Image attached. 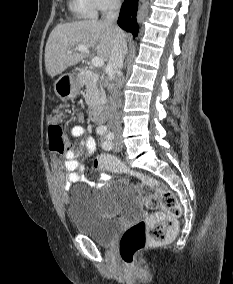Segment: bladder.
Returning <instances> with one entry per match:
<instances>
[{"label": "bladder", "instance_id": "31cf9c89", "mask_svg": "<svg viewBox=\"0 0 233 284\" xmlns=\"http://www.w3.org/2000/svg\"><path fill=\"white\" fill-rule=\"evenodd\" d=\"M136 195V189L123 180L111 183L100 201H96L84 187H75L69 195L67 214L76 231L98 244L108 245L120 230L121 221L104 215L100 207L113 203L128 206L135 202Z\"/></svg>", "mask_w": 233, "mask_h": 284}]
</instances>
